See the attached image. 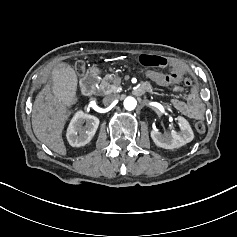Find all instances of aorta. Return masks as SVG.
I'll use <instances>...</instances> for the list:
<instances>
[{"mask_svg": "<svg viewBox=\"0 0 237 237\" xmlns=\"http://www.w3.org/2000/svg\"><path fill=\"white\" fill-rule=\"evenodd\" d=\"M123 104H124L125 109L134 110L137 105V101L134 97L129 96L125 98Z\"/></svg>", "mask_w": 237, "mask_h": 237, "instance_id": "aorta-1", "label": "aorta"}]
</instances>
